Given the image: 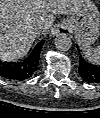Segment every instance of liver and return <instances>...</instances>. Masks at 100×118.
<instances>
[{
    "label": "liver",
    "instance_id": "6515ba94",
    "mask_svg": "<svg viewBox=\"0 0 100 118\" xmlns=\"http://www.w3.org/2000/svg\"><path fill=\"white\" fill-rule=\"evenodd\" d=\"M82 0H0V57L6 61L24 58L35 39L39 23L52 26L55 15H71Z\"/></svg>",
    "mask_w": 100,
    "mask_h": 118
}]
</instances>
